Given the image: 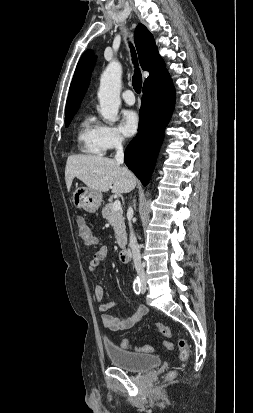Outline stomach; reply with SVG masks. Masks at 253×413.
Returning a JSON list of instances; mask_svg holds the SVG:
<instances>
[{
    "label": "stomach",
    "instance_id": "1",
    "mask_svg": "<svg viewBox=\"0 0 253 413\" xmlns=\"http://www.w3.org/2000/svg\"><path fill=\"white\" fill-rule=\"evenodd\" d=\"M72 202L75 207L94 213L101 205L102 193L88 187H80L73 192Z\"/></svg>",
    "mask_w": 253,
    "mask_h": 413
}]
</instances>
